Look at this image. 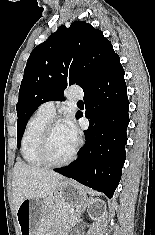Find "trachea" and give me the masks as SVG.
Here are the masks:
<instances>
[{"label": "trachea", "mask_w": 155, "mask_h": 235, "mask_svg": "<svg viewBox=\"0 0 155 235\" xmlns=\"http://www.w3.org/2000/svg\"><path fill=\"white\" fill-rule=\"evenodd\" d=\"M78 103H83L82 101H78Z\"/></svg>", "instance_id": "trachea-1"}]
</instances>
